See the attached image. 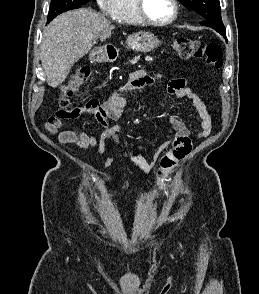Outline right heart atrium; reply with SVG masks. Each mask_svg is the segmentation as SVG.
<instances>
[{
  "label": "right heart atrium",
  "mask_w": 259,
  "mask_h": 294,
  "mask_svg": "<svg viewBox=\"0 0 259 294\" xmlns=\"http://www.w3.org/2000/svg\"><path fill=\"white\" fill-rule=\"evenodd\" d=\"M119 0H96L99 9L105 14L112 16L116 10Z\"/></svg>",
  "instance_id": "d8ad5b80"
}]
</instances>
